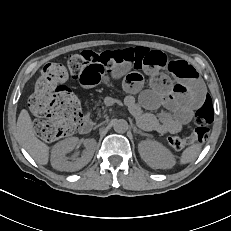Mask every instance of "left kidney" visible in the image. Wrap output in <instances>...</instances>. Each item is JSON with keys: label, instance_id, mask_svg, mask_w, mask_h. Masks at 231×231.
Segmentation results:
<instances>
[{"label": "left kidney", "instance_id": "1", "mask_svg": "<svg viewBox=\"0 0 231 231\" xmlns=\"http://www.w3.org/2000/svg\"><path fill=\"white\" fill-rule=\"evenodd\" d=\"M141 158L153 169H170L175 164L174 155L161 143L144 140L138 144Z\"/></svg>", "mask_w": 231, "mask_h": 231}]
</instances>
